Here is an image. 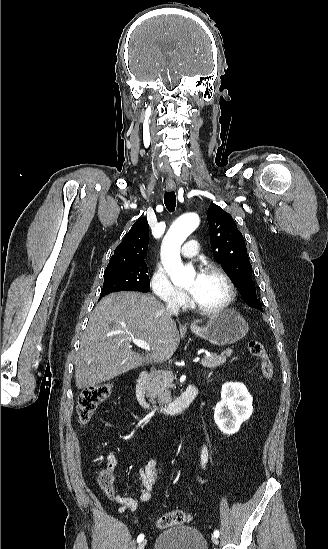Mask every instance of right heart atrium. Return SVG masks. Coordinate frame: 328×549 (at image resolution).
Returning a JSON list of instances; mask_svg holds the SVG:
<instances>
[{
	"label": "right heart atrium",
	"instance_id": "right-heart-atrium-1",
	"mask_svg": "<svg viewBox=\"0 0 328 549\" xmlns=\"http://www.w3.org/2000/svg\"><path fill=\"white\" fill-rule=\"evenodd\" d=\"M155 239V237H152ZM149 286L156 297L155 303H184L185 294L172 282L169 273L155 261L149 274Z\"/></svg>",
	"mask_w": 328,
	"mask_h": 549
}]
</instances>
